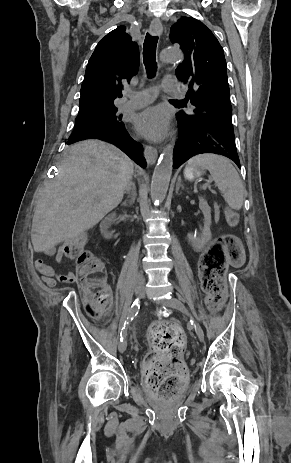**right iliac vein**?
<instances>
[{"instance_id": "1", "label": "right iliac vein", "mask_w": 291, "mask_h": 463, "mask_svg": "<svg viewBox=\"0 0 291 463\" xmlns=\"http://www.w3.org/2000/svg\"><path fill=\"white\" fill-rule=\"evenodd\" d=\"M142 285H143V279L142 278H139V279H136L135 280V284H134V291H135V295L137 298H140L141 295H142ZM127 348V342L126 340H123L119 343L118 345V349L121 353H123Z\"/></svg>"}]
</instances>
